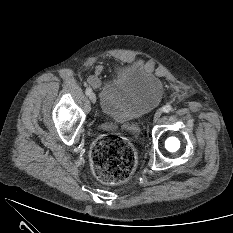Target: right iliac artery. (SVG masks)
<instances>
[{"mask_svg":"<svg viewBox=\"0 0 233 233\" xmlns=\"http://www.w3.org/2000/svg\"><path fill=\"white\" fill-rule=\"evenodd\" d=\"M86 95H90L92 93V89L91 88H87L85 91Z\"/></svg>","mask_w":233,"mask_h":233,"instance_id":"1","label":"right iliac artery"}]
</instances>
